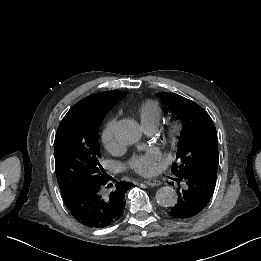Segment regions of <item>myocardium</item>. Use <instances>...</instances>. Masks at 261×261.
<instances>
[{"mask_svg": "<svg viewBox=\"0 0 261 261\" xmlns=\"http://www.w3.org/2000/svg\"><path fill=\"white\" fill-rule=\"evenodd\" d=\"M162 142L171 150L181 146L186 138V123L181 119H172L168 121L161 131H155Z\"/></svg>", "mask_w": 261, "mask_h": 261, "instance_id": "f54148a6", "label": "myocardium"}]
</instances>
